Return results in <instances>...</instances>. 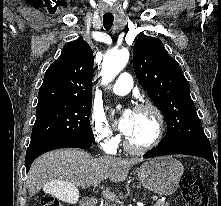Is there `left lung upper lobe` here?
I'll return each mask as SVG.
<instances>
[{
  "mask_svg": "<svg viewBox=\"0 0 221 206\" xmlns=\"http://www.w3.org/2000/svg\"><path fill=\"white\" fill-rule=\"evenodd\" d=\"M133 68L139 83L165 117L167 134L159 145L210 144L191 99L188 81L159 39H137Z\"/></svg>",
  "mask_w": 221,
  "mask_h": 206,
  "instance_id": "1",
  "label": "left lung upper lobe"
}]
</instances>
